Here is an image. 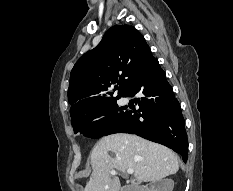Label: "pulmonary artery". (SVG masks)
Masks as SVG:
<instances>
[{
	"instance_id": "e3ab8cb5",
	"label": "pulmonary artery",
	"mask_w": 233,
	"mask_h": 191,
	"mask_svg": "<svg viewBox=\"0 0 233 191\" xmlns=\"http://www.w3.org/2000/svg\"><path fill=\"white\" fill-rule=\"evenodd\" d=\"M127 103V100L125 98L120 99V104L124 105Z\"/></svg>"
}]
</instances>
